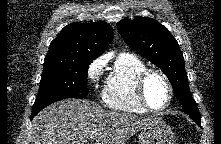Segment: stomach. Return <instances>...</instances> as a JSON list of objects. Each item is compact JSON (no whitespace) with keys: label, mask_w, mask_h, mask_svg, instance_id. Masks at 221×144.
I'll list each match as a JSON object with an SVG mask.
<instances>
[{"label":"stomach","mask_w":221,"mask_h":144,"mask_svg":"<svg viewBox=\"0 0 221 144\" xmlns=\"http://www.w3.org/2000/svg\"><path fill=\"white\" fill-rule=\"evenodd\" d=\"M174 133L161 119H155L149 125L141 129L139 144H173Z\"/></svg>","instance_id":"0dacf381"}]
</instances>
